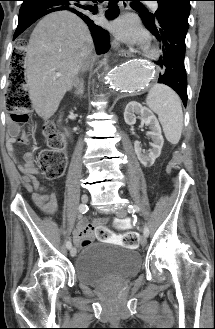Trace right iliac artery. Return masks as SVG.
<instances>
[{"label":"right iliac artery","instance_id":"82829eb1","mask_svg":"<svg viewBox=\"0 0 215 329\" xmlns=\"http://www.w3.org/2000/svg\"><path fill=\"white\" fill-rule=\"evenodd\" d=\"M87 210H88L87 205L81 204V205L79 206V212H80L81 214L86 213ZM66 247H67L68 249H70V248L72 247V244H71L70 241H67V243H66Z\"/></svg>","mask_w":215,"mask_h":329}]
</instances>
